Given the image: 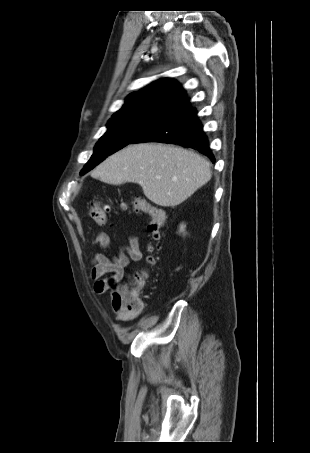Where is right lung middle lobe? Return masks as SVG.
Segmentation results:
<instances>
[{
	"label": "right lung middle lobe",
	"mask_w": 310,
	"mask_h": 453,
	"mask_svg": "<svg viewBox=\"0 0 310 453\" xmlns=\"http://www.w3.org/2000/svg\"><path fill=\"white\" fill-rule=\"evenodd\" d=\"M158 117L113 116L107 124V132L97 142L94 153L84 166L81 175L93 169L107 156L134 141Z\"/></svg>",
	"instance_id": "obj_1"
}]
</instances>
